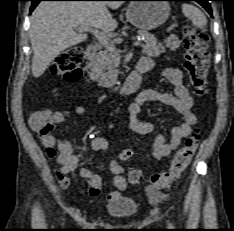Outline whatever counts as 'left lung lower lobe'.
Listing matches in <instances>:
<instances>
[{"mask_svg": "<svg viewBox=\"0 0 234 231\" xmlns=\"http://www.w3.org/2000/svg\"><path fill=\"white\" fill-rule=\"evenodd\" d=\"M126 1H132V0H126ZM169 1H196L200 5H202L207 10V12L212 16L211 7L209 4V1L211 0H169Z\"/></svg>", "mask_w": 234, "mask_h": 231, "instance_id": "left-lung-lower-lobe-1", "label": "left lung lower lobe"}]
</instances>
